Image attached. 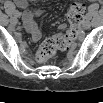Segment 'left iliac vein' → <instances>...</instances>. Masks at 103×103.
<instances>
[{
	"label": "left iliac vein",
	"instance_id": "1",
	"mask_svg": "<svg viewBox=\"0 0 103 103\" xmlns=\"http://www.w3.org/2000/svg\"><path fill=\"white\" fill-rule=\"evenodd\" d=\"M90 26H91L90 22H85L83 25L84 29H89Z\"/></svg>",
	"mask_w": 103,
	"mask_h": 103
}]
</instances>
